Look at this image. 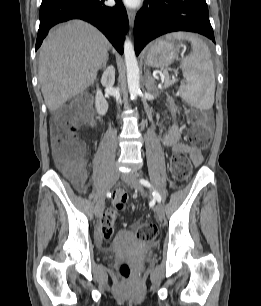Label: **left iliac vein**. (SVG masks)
Listing matches in <instances>:
<instances>
[{
  "label": "left iliac vein",
  "instance_id": "1",
  "mask_svg": "<svg viewBox=\"0 0 261 306\" xmlns=\"http://www.w3.org/2000/svg\"><path fill=\"white\" fill-rule=\"evenodd\" d=\"M122 180L130 186L132 189H135L139 191L140 193H143V187L139 183L137 179V175L134 172L126 173L121 175ZM154 211L157 215V217L161 220L164 218L165 212H164V207L162 204L157 203L154 207Z\"/></svg>",
  "mask_w": 261,
  "mask_h": 306
}]
</instances>
